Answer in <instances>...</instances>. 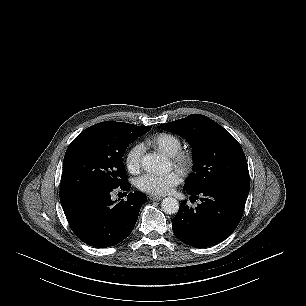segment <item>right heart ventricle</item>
Instances as JSON below:
<instances>
[{
	"mask_svg": "<svg viewBox=\"0 0 306 306\" xmlns=\"http://www.w3.org/2000/svg\"><path fill=\"white\" fill-rule=\"evenodd\" d=\"M146 145L170 157L181 149L182 141L177 135L161 132L150 137Z\"/></svg>",
	"mask_w": 306,
	"mask_h": 306,
	"instance_id": "obj_1",
	"label": "right heart ventricle"
}]
</instances>
